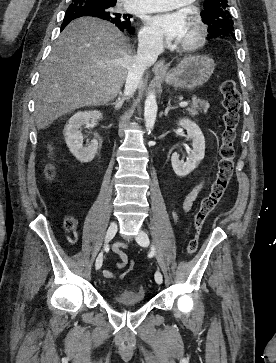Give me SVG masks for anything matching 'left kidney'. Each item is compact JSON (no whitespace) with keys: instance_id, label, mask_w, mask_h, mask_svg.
<instances>
[{"instance_id":"left-kidney-1","label":"left kidney","mask_w":276,"mask_h":363,"mask_svg":"<svg viewBox=\"0 0 276 363\" xmlns=\"http://www.w3.org/2000/svg\"><path fill=\"white\" fill-rule=\"evenodd\" d=\"M178 125L187 130V139L193 141L188 157L184 162L179 158V154L174 152L171 157L172 168L179 177H185L191 173L205 156V138L199 126L189 119H181Z\"/></svg>"}]
</instances>
